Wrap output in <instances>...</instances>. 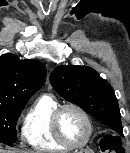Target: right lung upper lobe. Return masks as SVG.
I'll return each mask as SVG.
<instances>
[{
    "instance_id": "obj_1",
    "label": "right lung upper lobe",
    "mask_w": 130,
    "mask_h": 153,
    "mask_svg": "<svg viewBox=\"0 0 130 153\" xmlns=\"http://www.w3.org/2000/svg\"><path fill=\"white\" fill-rule=\"evenodd\" d=\"M45 66L36 60H20L13 54L0 56V104H26L41 88Z\"/></svg>"
}]
</instances>
